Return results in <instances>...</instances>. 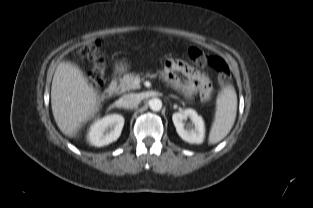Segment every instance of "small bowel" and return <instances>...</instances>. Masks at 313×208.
<instances>
[{"label": "small bowel", "mask_w": 313, "mask_h": 208, "mask_svg": "<svg viewBox=\"0 0 313 208\" xmlns=\"http://www.w3.org/2000/svg\"><path fill=\"white\" fill-rule=\"evenodd\" d=\"M165 73L170 82L186 95L198 92L203 99L210 97L212 86L207 75L187 63L181 60L168 59L165 63ZM177 73L184 75L186 80L181 81Z\"/></svg>", "instance_id": "1"}]
</instances>
